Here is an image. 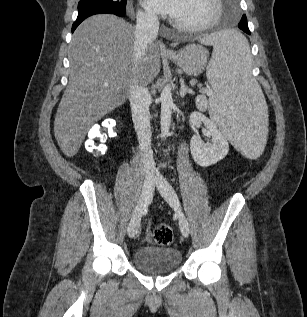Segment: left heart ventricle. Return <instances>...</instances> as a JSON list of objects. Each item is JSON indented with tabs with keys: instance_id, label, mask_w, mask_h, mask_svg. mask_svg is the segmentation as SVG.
<instances>
[{
	"instance_id": "b2bd125f",
	"label": "left heart ventricle",
	"mask_w": 307,
	"mask_h": 317,
	"mask_svg": "<svg viewBox=\"0 0 307 317\" xmlns=\"http://www.w3.org/2000/svg\"><path fill=\"white\" fill-rule=\"evenodd\" d=\"M213 0H184L180 13L175 21L185 25H198L207 22L213 15Z\"/></svg>"
}]
</instances>
